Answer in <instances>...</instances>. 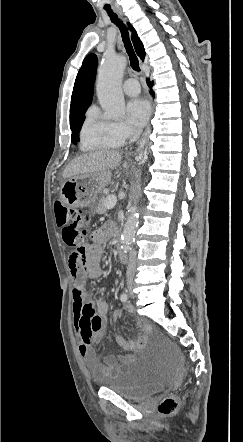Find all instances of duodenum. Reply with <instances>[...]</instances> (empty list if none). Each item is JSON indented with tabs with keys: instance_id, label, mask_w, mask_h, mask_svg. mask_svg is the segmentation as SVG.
<instances>
[{
	"instance_id": "obj_1",
	"label": "duodenum",
	"mask_w": 243,
	"mask_h": 442,
	"mask_svg": "<svg viewBox=\"0 0 243 442\" xmlns=\"http://www.w3.org/2000/svg\"><path fill=\"white\" fill-rule=\"evenodd\" d=\"M118 245H119V248H118V254H119V257H120L123 261L127 262L128 259H129V256H128V254H127L125 248L123 247V245H122L121 242H119Z\"/></svg>"
}]
</instances>
